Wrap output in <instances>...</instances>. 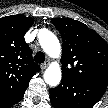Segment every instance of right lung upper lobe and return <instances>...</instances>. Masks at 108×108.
Wrapping results in <instances>:
<instances>
[{"instance_id": "right-lung-upper-lobe-1", "label": "right lung upper lobe", "mask_w": 108, "mask_h": 108, "mask_svg": "<svg viewBox=\"0 0 108 108\" xmlns=\"http://www.w3.org/2000/svg\"><path fill=\"white\" fill-rule=\"evenodd\" d=\"M34 20L24 15L0 19V103L17 98L40 70L24 35Z\"/></svg>"}]
</instances>
